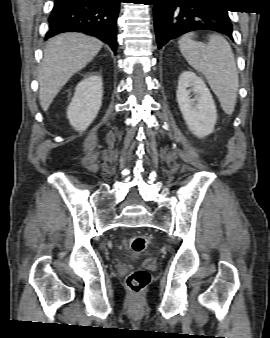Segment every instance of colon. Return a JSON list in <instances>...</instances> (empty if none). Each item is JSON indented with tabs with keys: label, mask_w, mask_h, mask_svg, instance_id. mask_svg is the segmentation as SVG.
Returning a JSON list of instances; mask_svg holds the SVG:
<instances>
[{
	"label": "colon",
	"mask_w": 270,
	"mask_h": 338,
	"mask_svg": "<svg viewBox=\"0 0 270 338\" xmlns=\"http://www.w3.org/2000/svg\"><path fill=\"white\" fill-rule=\"evenodd\" d=\"M149 243L145 235H134L129 239V247L136 253L145 251ZM150 281V275L147 271L136 269L127 276V286L135 294L142 292Z\"/></svg>",
	"instance_id": "1"
}]
</instances>
